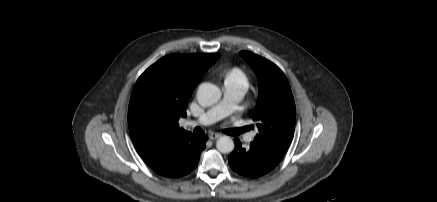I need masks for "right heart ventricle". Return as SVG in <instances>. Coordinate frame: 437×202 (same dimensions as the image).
I'll use <instances>...</instances> for the list:
<instances>
[{"label":"right heart ventricle","mask_w":437,"mask_h":202,"mask_svg":"<svg viewBox=\"0 0 437 202\" xmlns=\"http://www.w3.org/2000/svg\"><path fill=\"white\" fill-rule=\"evenodd\" d=\"M229 79L241 80V81L246 82V77H245L244 73L240 69H237V68H234L227 73L226 80H229Z\"/></svg>","instance_id":"1"}]
</instances>
